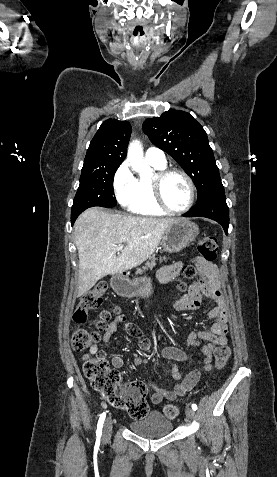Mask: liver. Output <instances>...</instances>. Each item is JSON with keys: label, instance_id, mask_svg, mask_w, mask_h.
Here are the masks:
<instances>
[{"label": "liver", "instance_id": "liver-1", "mask_svg": "<svg viewBox=\"0 0 277 477\" xmlns=\"http://www.w3.org/2000/svg\"><path fill=\"white\" fill-rule=\"evenodd\" d=\"M175 219L109 214L93 207L74 225L79 255L78 297L98 280L139 266L157 249L166 229ZM126 247L116 256L117 245Z\"/></svg>", "mask_w": 277, "mask_h": 477}]
</instances>
